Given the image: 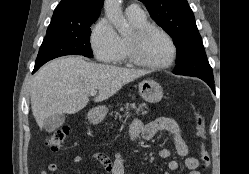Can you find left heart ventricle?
I'll use <instances>...</instances> for the list:
<instances>
[{
  "instance_id": "left-heart-ventricle-1",
  "label": "left heart ventricle",
  "mask_w": 249,
  "mask_h": 174,
  "mask_svg": "<svg viewBox=\"0 0 249 174\" xmlns=\"http://www.w3.org/2000/svg\"><path fill=\"white\" fill-rule=\"evenodd\" d=\"M141 57L154 64L167 62L172 56V47L169 41L160 33L149 34L141 47Z\"/></svg>"
}]
</instances>
